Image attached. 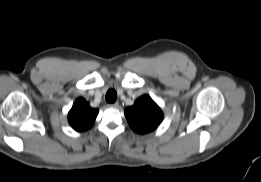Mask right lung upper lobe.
I'll return each mask as SVG.
<instances>
[{
    "label": "right lung upper lobe",
    "mask_w": 261,
    "mask_h": 182,
    "mask_svg": "<svg viewBox=\"0 0 261 182\" xmlns=\"http://www.w3.org/2000/svg\"><path fill=\"white\" fill-rule=\"evenodd\" d=\"M97 115V109L91 108L85 99L78 98L69 111L68 120L76 131H85L93 125Z\"/></svg>",
    "instance_id": "cb5924a9"
}]
</instances>
